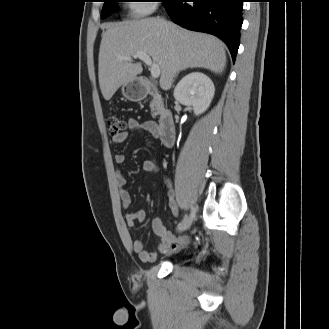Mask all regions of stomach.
<instances>
[{"mask_svg":"<svg viewBox=\"0 0 329 329\" xmlns=\"http://www.w3.org/2000/svg\"><path fill=\"white\" fill-rule=\"evenodd\" d=\"M123 96L132 102L143 100L148 93V85L142 78H133L122 86Z\"/></svg>","mask_w":329,"mask_h":329,"instance_id":"obj_1","label":"stomach"}]
</instances>
